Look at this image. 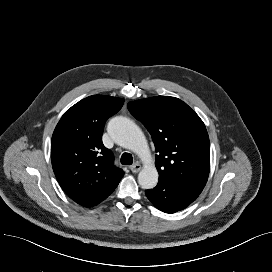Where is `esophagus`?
<instances>
[{
  "label": "esophagus",
  "mask_w": 272,
  "mask_h": 272,
  "mask_svg": "<svg viewBox=\"0 0 272 272\" xmlns=\"http://www.w3.org/2000/svg\"><path fill=\"white\" fill-rule=\"evenodd\" d=\"M130 170L133 172V173H137L141 170V164L136 162L135 164L131 165L130 166Z\"/></svg>",
  "instance_id": "esophagus-1"
}]
</instances>
